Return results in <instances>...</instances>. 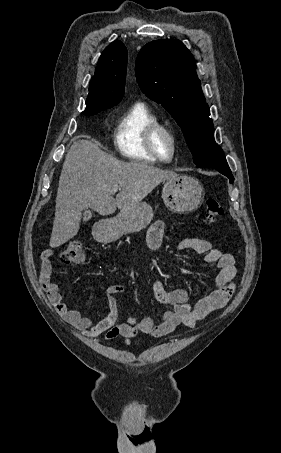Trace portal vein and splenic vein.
Here are the masks:
<instances>
[{"label":"portal vein and splenic vein","mask_w":281,"mask_h":453,"mask_svg":"<svg viewBox=\"0 0 281 453\" xmlns=\"http://www.w3.org/2000/svg\"><path fill=\"white\" fill-rule=\"evenodd\" d=\"M118 188H119V186H112L113 192H117Z\"/></svg>","instance_id":"portal-vein-and-splenic-vein-1"}]
</instances>
